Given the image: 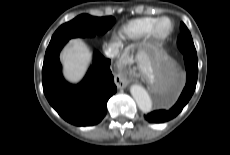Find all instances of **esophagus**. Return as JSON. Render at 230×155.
I'll list each match as a JSON object with an SVG mask.
<instances>
[{"instance_id":"obj_1","label":"esophagus","mask_w":230,"mask_h":155,"mask_svg":"<svg viewBox=\"0 0 230 155\" xmlns=\"http://www.w3.org/2000/svg\"><path fill=\"white\" fill-rule=\"evenodd\" d=\"M115 83L117 88L121 89L125 88L128 85L129 81L123 74H118L115 76Z\"/></svg>"}]
</instances>
